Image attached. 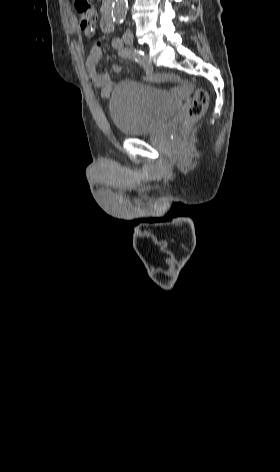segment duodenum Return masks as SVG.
Listing matches in <instances>:
<instances>
[{"mask_svg": "<svg viewBox=\"0 0 280 472\" xmlns=\"http://www.w3.org/2000/svg\"><path fill=\"white\" fill-rule=\"evenodd\" d=\"M113 27L114 25H113V21L111 17V8H110V4L107 3L104 8L103 16L101 19V29L104 32L109 33L113 30Z\"/></svg>", "mask_w": 280, "mask_h": 472, "instance_id": "410a0bca", "label": "duodenum"}]
</instances>
